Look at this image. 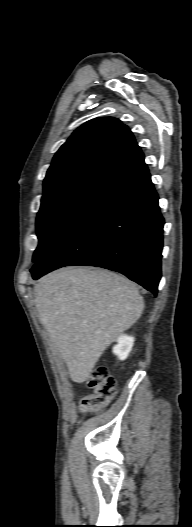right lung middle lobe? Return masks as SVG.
<instances>
[{"instance_id":"dd1d6c3e","label":"right lung middle lobe","mask_w":192,"mask_h":527,"mask_svg":"<svg viewBox=\"0 0 192 527\" xmlns=\"http://www.w3.org/2000/svg\"><path fill=\"white\" fill-rule=\"evenodd\" d=\"M106 183L87 177L44 191L36 221L39 244L33 262L48 253Z\"/></svg>"}]
</instances>
